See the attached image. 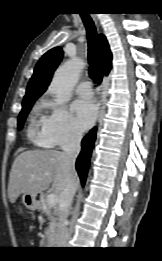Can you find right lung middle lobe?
I'll list each match as a JSON object with an SVG mask.
<instances>
[{
    "label": "right lung middle lobe",
    "mask_w": 162,
    "mask_h": 261,
    "mask_svg": "<svg viewBox=\"0 0 162 261\" xmlns=\"http://www.w3.org/2000/svg\"><path fill=\"white\" fill-rule=\"evenodd\" d=\"M35 101H36V99L23 101L22 110H21L19 117H18V129H21L23 127L24 121H25V119H26V117H27L29 111L31 110Z\"/></svg>",
    "instance_id": "1"
}]
</instances>
